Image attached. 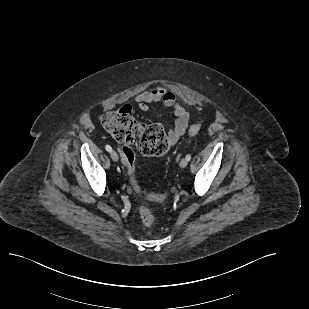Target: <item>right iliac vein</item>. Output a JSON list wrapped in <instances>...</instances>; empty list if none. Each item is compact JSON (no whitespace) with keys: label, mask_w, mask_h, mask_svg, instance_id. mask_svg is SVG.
Wrapping results in <instances>:
<instances>
[{"label":"right iliac vein","mask_w":309,"mask_h":309,"mask_svg":"<svg viewBox=\"0 0 309 309\" xmlns=\"http://www.w3.org/2000/svg\"><path fill=\"white\" fill-rule=\"evenodd\" d=\"M110 155L113 161L117 162L119 160L118 154L115 151L112 150Z\"/></svg>","instance_id":"63e3f726"}]
</instances>
